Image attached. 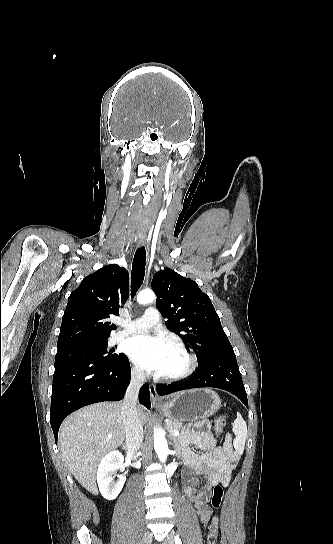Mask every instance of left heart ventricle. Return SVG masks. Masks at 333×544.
Listing matches in <instances>:
<instances>
[{
  "label": "left heart ventricle",
  "instance_id": "left-heart-ventricle-1",
  "mask_svg": "<svg viewBox=\"0 0 333 544\" xmlns=\"http://www.w3.org/2000/svg\"><path fill=\"white\" fill-rule=\"evenodd\" d=\"M186 366L185 357L175 348L170 347L165 365L159 374H174L181 371Z\"/></svg>",
  "mask_w": 333,
  "mask_h": 544
}]
</instances>
